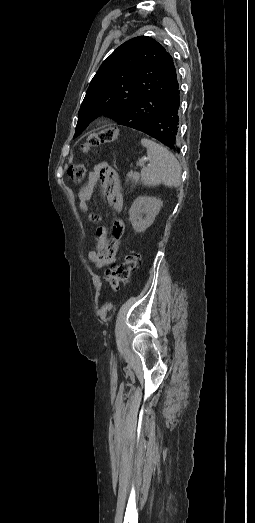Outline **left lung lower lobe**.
Returning <instances> with one entry per match:
<instances>
[{
	"label": "left lung lower lobe",
	"instance_id": "obj_1",
	"mask_svg": "<svg viewBox=\"0 0 255 523\" xmlns=\"http://www.w3.org/2000/svg\"><path fill=\"white\" fill-rule=\"evenodd\" d=\"M175 90L176 92L172 94L169 102L162 107L161 115H153L154 121H148L145 125L135 127V129L144 130L146 135L155 138L160 145L169 148L172 152L177 151L179 148L176 141L179 135L178 109L182 103L180 89Z\"/></svg>",
	"mask_w": 255,
	"mask_h": 523
}]
</instances>
